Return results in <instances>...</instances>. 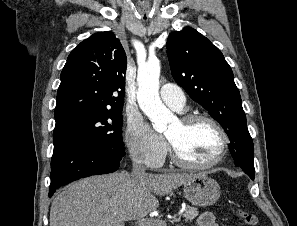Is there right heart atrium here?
Returning <instances> with one entry per match:
<instances>
[{
  "label": "right heart atrium",
  "instance_id": "obj_1",
  "mask_svg": "<svg viewBox=\"0 0 297 226\" xmlns=\"http://www.w3.org/2000/svg\"><path fill=\"white\" fill-rule=\"evenodd\" d=\"M124 140L132 159L145 167L159 166L166 155L164 139L138 114L129 117Z\"/></svg>",
  "mask_w": 297,
  "mask_h": 226
}]
</instances>
